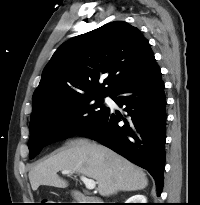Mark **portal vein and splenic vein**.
<instances>
[{"label":"portal vein and splenic vein","mask_w":200,"mask_h":205,"mask_svg":"<svg viewBox=\"0 0 200 205\" xmlns=\"http://www.w3.org/2000/svg\"><path fill=\"white\" fill-rule=\"evenodd\" d=\"M62 173L63 174H70L71 172L69 170H63ZM80 178H81V180L83 181V183L85 184V186L88 190L95 189L96 182L94 180L88 179L85 176H81Z\"/></svg>","instance_id":"1"}]
</instances>
